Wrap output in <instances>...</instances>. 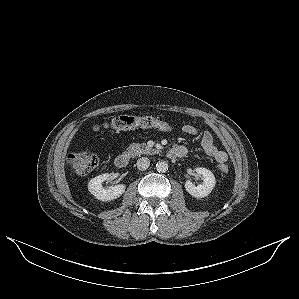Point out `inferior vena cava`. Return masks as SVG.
Segmentation results:
<instances>
[{
    "instance_id": "inferior-vena-cava-1",
    "label": "inferior vena cava",
    "mask_w": 299,
    "mask_h": 299,
    "mask_svg": "<svg viewBox=\"0 0 299 299\" xmlns=\"http://www.w3.org/2000/svg\"><path fill=\"white\" fill-rule=\"evenodd\" d=\"M136 165L139 170H146L150 166V160L147 157H141Z\"/></svg>"
}]
</instances>
